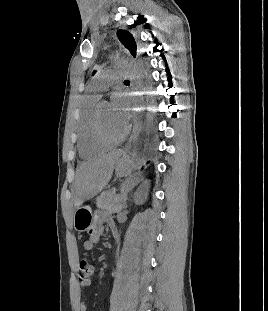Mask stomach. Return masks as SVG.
<instances>
[{
    "mask_svg": "<svg viewBox=\"0 0 268 311\" xmlns=\"http://www.w3.org/2000/svg\"><path fill=\"white\" fill-rule=\"evenodd\" d=\"M135 167L134 159L127 154L119 158L115 164V173L117 177L127 176ZM93 221V212L87 206H79L74 213V229L78 232L88 231Z\"/></svg>",
    "mask_w": 268,
    "mask_h": 311,
    "instance_id": "0dacf381",
    "label": "stomach"
}]
</instances>
